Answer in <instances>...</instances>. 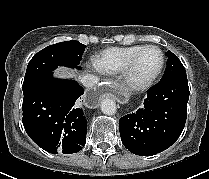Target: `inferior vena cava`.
<instances>
[{
  "mask_svg": "<svg viewBox=\"0 0 209 179\" xmlns=\"http://www.w3.org/2000/svg\"><path fill=\"white\" fill-rule=\"evenodd\" d=\"M80 82L82 83L83 86H85L87 88H91L99 82V79H98V77H96L94 75L87 74L81 78Z\"/></svg>",
  "mask_w": 209,
  "mask_h": 179,
  "instance_id": "inferior-vena-cava-1",
  "label": "inferior vena cava"
}]
</instances>
